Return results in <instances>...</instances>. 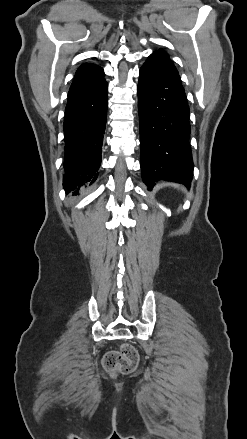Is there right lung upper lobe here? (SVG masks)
Returning a JSON list of instances; mask_svg holds the SVG:
<instances>
[{"label": "right lung upper lobe", "mask_w": 247, "mask_h": 439, "mask_svg": "<svg viewBox=\"0 0 247 439\" xmlns=\"http://www.w3.org/2000/svg\"><path fill=\"white\" fill-rule=\"evenodd\" d=\"M104 75L101 67L91 63L82 64L76 71L68 94L95 88L105 81L103 79Z\"/></svg>", "instance_id": "1"}]
</instances>
